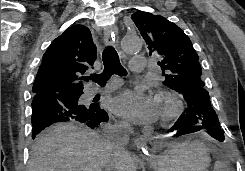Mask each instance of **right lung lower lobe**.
Returning <instances> with one entry per match:
<instances>
[{
    "mask_svg": "<svg viewBox=\"0 0 245 171\" xmlns=\"http://www.w3.org/2000/svg\"><path fill=\"white\" fill-rule=\"evenodd\" d=\"M82 90H67L56 94H36L32 101V138L56 122L76 120L94 129L109 120L98 104L82 105Z\"/></svg>",
    "mask_w": 245,
    "mask_h": 171,
    "instance_id": "right-lung-lower-lobe-1",
    "label": "right lung lower lobe"
}]
</instances>
